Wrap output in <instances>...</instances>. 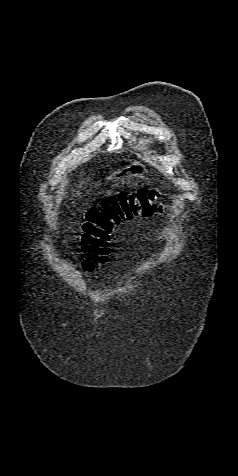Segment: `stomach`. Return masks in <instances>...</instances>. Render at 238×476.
Listing matches in <instances>:
<instances>
[{
    "label": "stomach",
    "instance_id": "0dacf381",
    "mask_svg": "<svg viewBox=\"0 0 238 476\" xmlns=\"http://www.w3.org/2000/svg\"><path fill=\"white\" fill-rule=\"evenodd\" d=\"M131 174L130 169H125V170H119L117 172L112 173L108 179H115L116 181L118 180H123L125 177H128Z\"/></svg>",
    "mask_w": 238,
    "mask_h": 476
}]
</instances>
